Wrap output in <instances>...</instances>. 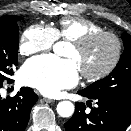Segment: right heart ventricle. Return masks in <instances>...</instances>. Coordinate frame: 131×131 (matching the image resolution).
<instances>
[{"label": "right heart ventricle", "mask_w": 131, "mask_h": 131, "mask_svg": "<svg viewBox=\"0 0 131 131\" xmlns=\"http://www.w3.org/2000/svg\"><path fill=\"white\" fill-rule=\"evenodd\" d=\"M57 39L74 41L90 32L100 31L102 27L96 22L83 17H68L59 21L53 28Z\"/></svg>", "instance_id": "right-heart-ventricle-1"}]
</instances>
